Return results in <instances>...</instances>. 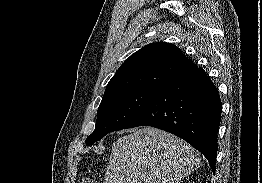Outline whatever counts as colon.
Here are the masks:
<instances>
[{"label":"colon","mask_w":262,"mask_h":183,"mask_svg":"<svg viewBox=\"0 0 262 183\" xmlns=\"http://www.w3.org/2000/svg\"><path fill=\"white\" fill-rule=\"evenodd\" d=\"M81 183H98L96 180L90 178V177H86L82 180Z\"/></svg>","instance_id":"5ec220e1"}]
</instances>
